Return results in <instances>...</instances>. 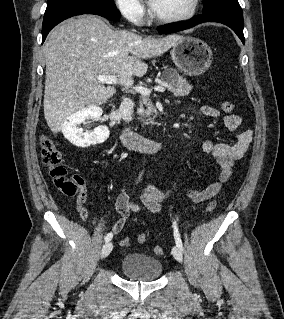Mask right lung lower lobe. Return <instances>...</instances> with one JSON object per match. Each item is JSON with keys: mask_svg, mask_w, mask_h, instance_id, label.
Returning a JSON list of instances; mask_svg holds the SVG:
<instances>
[{"mask_svg": "<svg viewBox=\"0 0 284 319\" xmlns=\"http://www.w3.org/2000/svg\"><path fill=\"white\" fill-rule=\"evenodd\" d=\"M81 14H94L103 16L110 20H118L121 17L120 12L116 9V7H75L69 8L62 11H59L50 17L43 19L42 25V36L44 42L46 36L50 32V30L55 27L57 24L62 22L63 20L70 18L72 16L81 15Z\"/></svg>", "mask_w": 284, "mask_h": 319, "instance_id": "obj_1", "label": "right lung lower lobe"}]
</instances>
